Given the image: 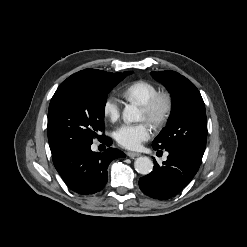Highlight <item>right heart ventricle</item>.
Instances as JSON below:
<instances>
[{"mask_svg": "<svg viewBox=\"0 0 247 247\" xmlns=\"http://www.w3.org/2000/svg\"><path fill=\"white\" fill-rule=\"evenodd\" d=\"M158 92L157 86L153 83L146 80H137L127 85L122 95L129 101L143 105Z\"/></svg>", "mask_w": 247, "mask_h": 247, "instance_id": "1", "label": "right heart ventricle"}]
</instances>
